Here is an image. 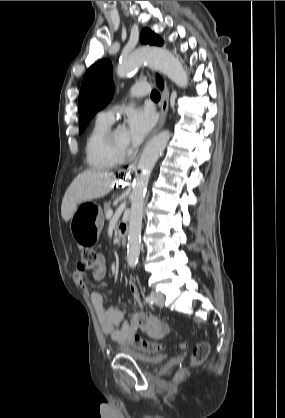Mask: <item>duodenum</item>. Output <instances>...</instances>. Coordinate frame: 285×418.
<instances>
[{
	"label": "duodenum",
	"mask_w": 285,
	"mask_h": 418,
	"mask_svg": "<svg viewBox=\"0 0 285 418\" xmlns=\"http://www.w3.org/2000/svg\"><path fill=\"white\" fill-rule=\"evenodd\" d=\"M126 228L123 226V225H120L119 227H118V235L119 236H123V235H125L126 234Z\"/></svg>",
	"instance_id": "obj_1"
}]
</instances>
